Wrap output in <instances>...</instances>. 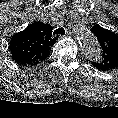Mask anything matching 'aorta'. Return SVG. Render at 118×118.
I'll list each match as a JSON object with an SVG mask.
<instances>
[{
	"mask_svg": "<svg viewBox=\"0 0 118 118\" xmlns=\"http://www.w3.org/2000/svg\"><path fill=\"white\" fill-rule=\"evenodd\" d=\"M77 36L86 56L91 60H100L102 57L101 48L94 34L85 26L80 25L78 26Z\"/></svg>",
	"mask_w": 118,
	"mask_h": 118,
	"instance_id": "aorta-1",
	"label": "aorta"
}]
</instances>
